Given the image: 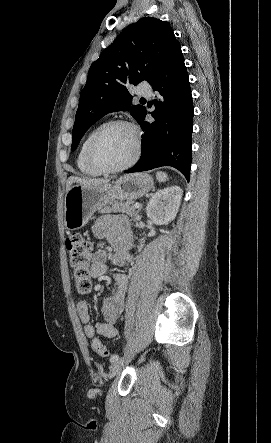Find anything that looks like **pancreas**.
Instances as JSON below:
<instances>
[{"instance_id": "pancreas-1", "label": "pancreas", "mask_w": 271, "mask_h": 443, "mask_svg": "<svg viewBox=\"0 0 271 443\" xmlns=\"http://www.w3.org/2000/svg\"><path fill=\"white\" fill-rule=\"evenodd\" d=\"M133 204L134 202H131V200H128V202H115L112 208H100L99 212L100 214H111V212H123V214H128V216L134 218V216H137L139 208L137 210V208H134Z\"/></svg>"}]
</instances>
